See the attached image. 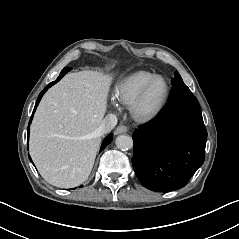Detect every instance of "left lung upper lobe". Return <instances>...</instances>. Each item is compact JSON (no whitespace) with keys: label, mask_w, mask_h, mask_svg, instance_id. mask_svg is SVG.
Returning <instances> with one entry per match:
<instances>
[{"label":"left lung upper lobe","mask_w":239,"mask_h":239,"mask_svg":"<svg viewBox=\"0 0 239 239\" xmlns=\"http://www.w3.org/2000/svg\"><path fill=\"white\" fill-rule=\"evenodd\" d=\"M179 84H184L182 78L180 77L179 74H175V77L172 79V85L175 86V85H179Z\"/></svg>","instance_id":"left-lung-upper-lobe-1"}]
</instances>
